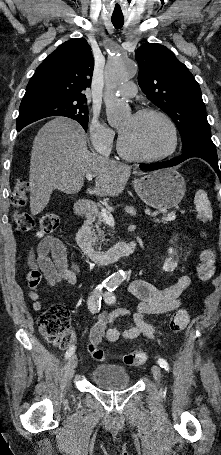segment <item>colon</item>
Instances as JSON below:
<instances>
[{
    "label": "colon",
    "mask_w": 221,
    "mask_h": 455,
    "mask_svg": "<svg viewBox=\"0 0 221 455\" xmlns=\"http://www.w3.org/2000/svg\"><path fill=\"white\" fill-rule=\"evenodd\" d=\"M29 193V183L19 178L15 182L11 194V203L14 207L13 219L22 232H29L36 228L37 236L50 234L57 228L59 217L55 213H45L34 218L27 212L20 209L24 207ZM216 255L213 249L206 248L200 254L197 264L196 274L201 282L209 281L215 270ZM188 323V313L185 310H177L170 320V328L174 332L182 331ZM38 328L41 335L48 341L65 347L73 340L71 323L67 308L61 304H56L44 311L38 319ZM89 351L92 357L97 360H103V351L96 343H89ZM147 361V355L143 351H133L128 353L124 362L128 366H140Z\"/></svg>",
    "instance_id": "5ec220e1"
}]
</instances>
